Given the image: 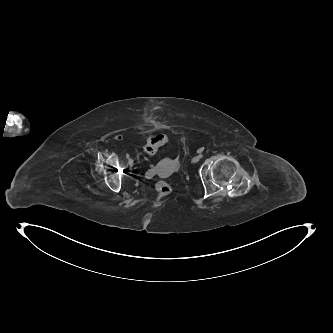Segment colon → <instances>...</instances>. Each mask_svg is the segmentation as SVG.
Listing matches in <instances>:
<instances>
[{
    "mask_svg": "<svg viewBox=\"0 0 333 333\" xmlns=\"http://www.w3.org/2000/svg\"><path fill=\"white\" fill-rule=\"evenodd\" d=\"M168 142H169V137L166 134L163 133L154 134L148 139L144 147V152L149 156H153L161 146H163ZM155 190L158 201L163 200L164 198L169 196L172 192L171 186L165 181L157 182Z\"/></svg>",
    "mask_w": 333,
    "mask_h": 333,
    "instance_id": "obj_1",
    "label": "colon"
}]
</instances>
